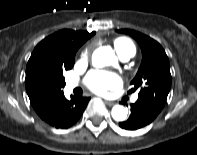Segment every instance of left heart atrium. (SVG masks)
Listing matches in <instances>:
<instances>
[{
  "mask_svg": "<svg viewBox=\"0 0 197 155\" xmlns=\"http://www.w3.org/2000/svg\"><path fill=\"white\" fill-rule=\"evenodd\" d=\"M88 88L99 95L106 94L107 91L117 89L121 86L120 77L112 72L92 71L86 78Z\"/></svg>",
  "mask_w": 197,
  "mask_h": 155,
  "instance_id": "obj_1",
  "label": "left heart atrium"
}]
</instances>
